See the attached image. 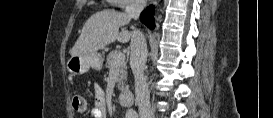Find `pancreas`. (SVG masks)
Returning a JSON list of instances; mask_svg holds the SVG:
<instances>
[{"mask_svg": "<svg viewBox=\"0 0 273 118\" xmlns=\"http://www.w3.org/2000/svg\"><path fill=\"white\" fill-rule=\"evenodd\" d=\"M120 51H112L107 55L106 58V64L105 66L107 68H111V66L116 63L117 67H118V84H117V88L120 91H124L127 90L128 87L125 86V82L127 80V65L125 60H117V55Z\"/></svg>", "mask_w": 273, "mask_h": 118, "instance_id": "1", "label": "pancreas"}]
</instances>
